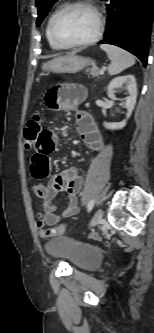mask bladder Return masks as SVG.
<instances>
[{
    "instance_id": "bladder-1",
    "label": "bladder",
    "mask_w": 154,
    "mask_h": 333,
    "mask_svg": "<svg viewBox=\"0 0 154 333\" xmlns=\"http://www.w3.org/2000/svg\"><path fill=\"white\" fill-rule=\"evenodd\" d=\"M49 255L65 260L72 268L92 271L101 263L102 252L99 248L79 243L76 239L62 235L45 243Z\"/></svg>"
}]
</instances>
